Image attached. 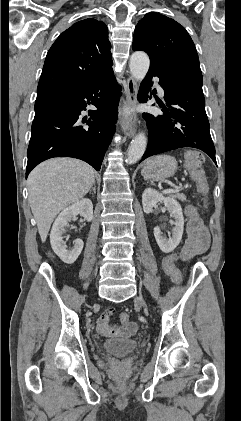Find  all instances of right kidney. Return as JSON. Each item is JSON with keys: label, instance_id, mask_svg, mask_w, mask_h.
I'll list each match as a JSON object with an SVG mask.
<instances>
[{"label": "right kidney", "instance_id": "right-kidney-1", "mask_svg": "<svg viewBox=\"0 0 241 421\" xmlns=\"http://www.w3.org/2000/svg\"><path fill=\"white\" fill-rule=\"evenodd\" d=\"M78 214L84 217L88 222L92 220L93 204L90 199L85 198L79 200L64 209L56 218L50 233V243L53 251L67 264H73L77 260L84 246L81 239H76L74 241V247L68 249L64 237L62 236L68 222L71 219H74Z\"/></svg>", "mask_w": 241, "mask_h": 421}]
</instances>
